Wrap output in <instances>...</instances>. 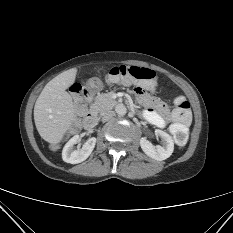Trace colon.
<instances>
[{"label":"colon","instance_id":"1","mask_svg":"<svg viewBox=\"0 0 233 233\" xmlns=\"http://www.w3.org/2000/svg\"><path fill=\"white\" fill-rule=\"evenodd\" d=\"M107 80L112 83L124 85L137 84L139 87L147 90H154L156 87V74L154 71L137 66H116L113 67L108 75ZM86 88L81 84H75L72 87V94L76 104L77 118L86 113ZM191 120L190 105L183 97H177L174 101L173 124L171 132L175 143L178 146H184L188 141L187 125Z\"/></svg>","mask_w":233,"mask_h":233}]
</instances>
